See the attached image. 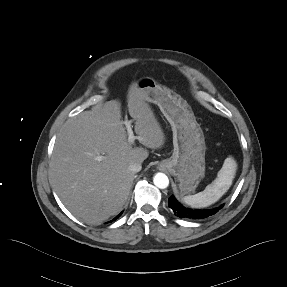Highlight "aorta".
I'll use <instances>...</instances> for the list:
<instances>
[{"mask_svg": "<svg viewBox=\"0 0 287 287\" xmlns=\"http://www.w3.org/2000/svg\"><path fill=\"white\" fill-rule=\"evenodd\" d=\"M154 185L160 189H165L169 185V179L164 173H157L153 178Z\"/></svg>", "mask_w": 287, "mask_h": 287, "instance_id": "obj_1", "label": "aorta"}]
</instances>
